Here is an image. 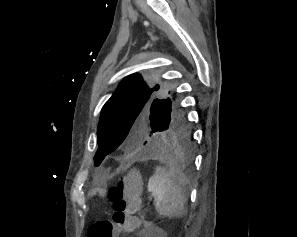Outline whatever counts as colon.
<instances>
[{
    "mask_svg": "<svg viewBox=\"0 0 297 237\" xmlns=\"http://www.w3.org/2000/svg\"><path fill=\"white\" fill-rule=\"evenodd\" d=\"M107 196L113 206V216L92 224L87 237H116L119 233L132 232L141 225L137 215L140 201V177L137 173L126 174L108 189Z\"/></svg>",
    "mask_w": 297,
    "mask_h": 237,
    "instance_id": "colon-1",
    "label": "colon"
}]
</instances>
